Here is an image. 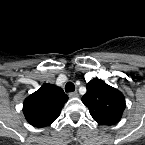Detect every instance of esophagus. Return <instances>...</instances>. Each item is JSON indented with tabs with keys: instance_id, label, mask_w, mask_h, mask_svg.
<instances>
[{
	"instance_id": "esophagus-1",
	"label": "esophagus",
	"mask_w": 145,
	"mask_h": 145,
	"mask_svg": "<svg viewBox=\"0 0 145 145\" xmlns=\"http://www.w3.org/2000/svg\"><path fill=\"white\" fill-rule=\"evenodd\" d=\"M69 97L70 98H77V97H79V94L77 91H74V92L69 93Z\"/></svg>"
}]
</instances>
